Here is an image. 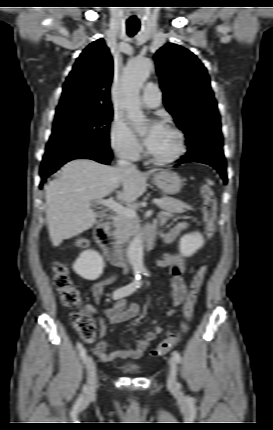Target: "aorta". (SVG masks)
<instances>
[{
	"label": "aorta",
	"instance_id": "1",
	"mask_svg": "<svg viewBox=\"0 0 273 430\" xmlns=\"http://www.w3.org/2000/svg\"><path fill=\"white\" fill-rule=\"evenodd\" d=\"M152 68L153 62L149 58L133 59L127 64L122 80V90L127 116L131 121L140 126V130L143 129L142 126L145 122V115L140 108L138 96L141 87L149 77ZM127 256L135 273L145 271L141 236H136L130 242Z\"/></svg>",
	"mask_w": 273,
	"mask_h": 430
}]
</instances>
